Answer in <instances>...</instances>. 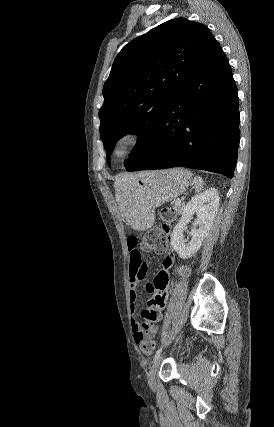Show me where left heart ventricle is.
<instances>
[{
	"label": "left heart ventricle",
	"instance_id": "obj_1",
	"mask_svg": "<svg viewBox=\"0 0 274 427\" xmlns=\"http://www.w3.org/2000/svg\"><path fill=\"white\" fill-rule=\"evenodd\" d=\"M126 150V144L124 142L120 143L116 149L118 156H122Z\"/></svg>",
	"mask_w": 274,
	"mask_h": 427
}]
</instances>
